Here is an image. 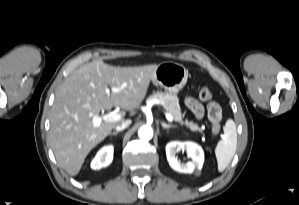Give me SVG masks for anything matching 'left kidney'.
Returning <instances> with one entry per match:
<instances>
[{
	"label": "left kidney",
	"mask_w": 299,
	"mask_h": 205,
	"mask_svg": "<svg viewBox=\"0 0 299 205\" xmlns=\"http://www.w3.org/2000/svg\"><path fill=\"white\" fill-rule=\"evenodd\" d=\"M185 150L192 161L181 163L176 157V153ZM166 156L172 169L180 173H193L201 170L204 163V152L201 146L190 141H172L166 145Z\"/></svg>",
	"instance_id": "obj_1"
}]
</instances>
